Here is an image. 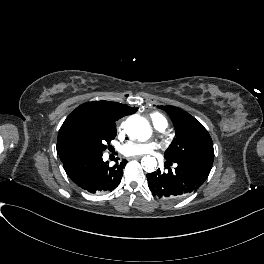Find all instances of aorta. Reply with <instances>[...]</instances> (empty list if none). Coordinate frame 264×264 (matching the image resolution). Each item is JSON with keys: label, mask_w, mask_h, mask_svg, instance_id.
Listing matches in <instances>:
<instances>
[{"label": "aorta", "mask_w": 264, "mask_h": 264, "mask_svg": "<svg viewBox=\"0 0 264 264\" xmlns=\"http://www.w3.org/2000/svg\"><path fill=\"white\" fill-rule=\"evenodd\" d=\"M126 131L128 135L139 141H145L150 136V127L146 120L141 117L133 116L126 121ZM141 165L151 171L156 166V160L154 157H143L141 160Z\"/></svg>", "instance_id": "762f6f07"}]
</instances>
